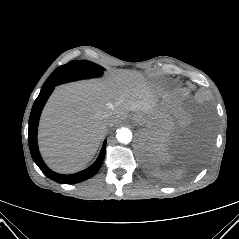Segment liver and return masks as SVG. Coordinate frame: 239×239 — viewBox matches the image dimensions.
Segmentation results:
<instances>
[{
	"mask_svg": "<svg viewBox=\"0 0 239 239\" xmlns=\"http://www.w3.org/2000/svg\"><path fill=\"white\" fill-rule=\"evenodd\" d=\"M156 99L142 77L123 70L103 81L59 86L47 102L39 126V145L47 165L60 173L83 168L94 157L107 126L122 122L130 111L157 118ZM179 124L187 117L173 108ZM113 114L107 124L103 115Z\"/></svg>",
	"mask_w": 239,
	"mask_h": 239,
	"instance_id": "1",
	"label": "liver"
}]
</instances>
